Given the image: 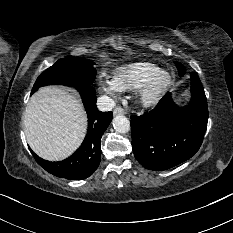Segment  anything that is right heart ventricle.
<instances>
[{"instance_id": "1", "label": "right heart ventricle", "mask_w": 233, "mask_h": 233, "mask_svg": "<svg viewBox=\"0 0 233 233\" xmlns=\"http://www.w3.org/2000/svg\"><path fill=\"white\" fill-rule=\"evenodd\" d=\"M159 67L150 62H138L126 65L115 74L114 80L122 91L139 89Z\"/></svg>"}]
</instances>
